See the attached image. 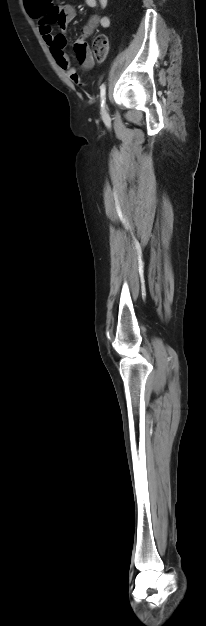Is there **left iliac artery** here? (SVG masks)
I'll return each instance as SVG.
<instances>
[{"label":"left iliac artery","instance_id":"obj_1","mask_svg":"<svg viewBox=\"0 0 206 626\" xmlns=\"http://www.w3.org/2000/svg\"><path fill=\"white\" fill-rule=\"evenodd\" d=\"M105 94H106V87H105V84H103L100 87L101 107H103L105 104Z\"/></svg>","mask_w":206,"mask_h":626}]
</instances>
